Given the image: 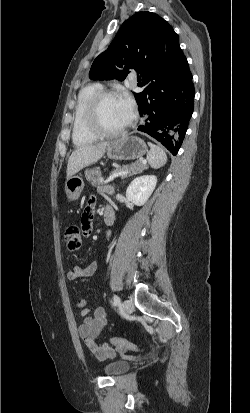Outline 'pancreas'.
<instances>
[{
	"label": "pancreas",
	"mask_w": 250,
	"mask_h": 413,
	"mask_svg": "<svg viewBox=\"0 0 250 413\" xmlns=\"http://www.w3.org/2000/svg\"><path fill=\"white\" fill-rule=\"evenodd\" d=\"M144 168H146V166L143 165L140 161H138L134 164L122 166L121 168H117L115 171H113V173L118 172V171H129L128 174L122 175V177H127V176L140 173ZM85 177L87 181H89L92 184V186H99L103 182L101 170L99 168L86 170Z\"/></svg>",
	"instance_id": "1"
}]
</instances>
